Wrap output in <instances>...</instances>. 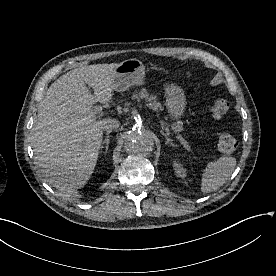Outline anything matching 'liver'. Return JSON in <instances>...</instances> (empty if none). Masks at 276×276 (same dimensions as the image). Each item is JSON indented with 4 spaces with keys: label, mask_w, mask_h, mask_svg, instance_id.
<instances>
[{
    "label": "liver",
    "mask_w": 276,
    "mask_h": 276,
    "mask_svg": "<svg viewBox=\"0 0 276 276\" xmlns=\"http://www.w3.org/2000/svg\"><path fill=\"white\" fill-rule=\"evenodd\" d=\"M118 65L75 68L52 83L39 104L33 127L35 158L46 181L62 194L76 195L95 169L108 118L99 120L92 105L113 100Z\"/></svg>",
    "instance_id": "6515ba94"
}]
</instances>
